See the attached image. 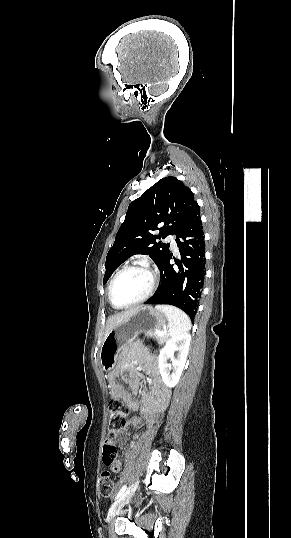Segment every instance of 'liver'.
Instances as JSON below:
<instances>
[{
  "instance_id": "1",
  "label": "liver",
  "mask_w": 291,
  "mask_h": 538,
  "mask_svg": "<svg viewBox=\"0 0 291 538\" xmlns=\"http://www.w3.org/2000/svg\"><path fill=\"white\" fill-rule=\"evenodd\" d=\"M141 307H135L130 310H127L125 312H121L119 314H115L113 316H110L106 322L105 327V334L104 339L108 336V334L119 324L126 321L134 312H136Z\"/></svg>"
}]
</instances>
